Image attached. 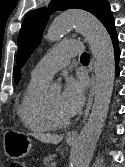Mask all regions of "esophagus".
<instances>
[{"mask_svg": "<svg viewBox=\"0 0 125 167\" xmlns=\"http://www.w3.org/2000/svg\"><path fill=\"white\" fill-rule=\"evenodd\" d=\"M91 79H92L91 87H90V91H89V94H88V101H87V105H86V109H85V113H84L82 123H84L86 118L88 117V114H89L91 106H92L93 98H94L95 80H94L93 72H92V75H91ZM77 137H78V130H72V131H69L66 134V139H68V140H76Z\"/></svg>", "mask_w": 125, "mask_h": 167, "instance_id": "esophagus-1", "label": "esophagus"}]
</instances>
